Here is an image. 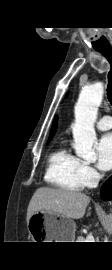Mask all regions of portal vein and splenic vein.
I'll return each mask as SVG.
<instances>
[{
	"instance_id": "obj_1",
	"label": "portal vein and splenic vein",
	"mask_w": 112,
	"mask_h": 270,
	"mask_svg": "<svg viewBox=\"0 0 112 270\" xmlns=\"http://www.w3.org/2000/svg\"><path fill=\"white\" fill-rule=\"evenodd\" d=\"M85 242H94L93 235H91V234L87 235Z\"/></svg>"
}]
</instances>
